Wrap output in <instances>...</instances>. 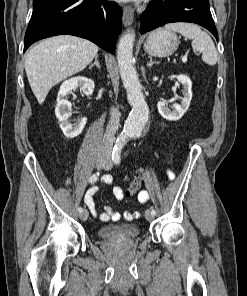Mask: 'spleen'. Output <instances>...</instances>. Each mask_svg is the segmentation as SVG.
Returning a JSON list of instances; mask_svg holds the SVG:
<instances>
[{
	"instance_id": "1",
	"label": "spleen",
	"mask_w": 247,
	"mask_h": 296,
	"mask_svg": "<svg viewBox=\"0 0 247 296\" xmlns=\"http://www.w3.org/2000/svg\"><path fill=\"white\" fill-rule=\"evenodd\" d=\"M165 29L175 31L185 38L192 39V48L194 51L202 53V60L208 65H215L218 60V53L211 37L200 29L199 26L192 23H170L165 25Z\"/></svg>"
}]
</instances>
